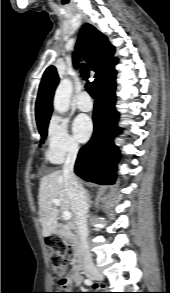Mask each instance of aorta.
<instances>
[{"instance_id": "aorta-1", "label": "aorta", "mask_w": 170, "mask_h": 293, "mask_svg": "<svg viewBox=\"0 0 170 293\" xmlns=\"http://www.w3.org/2000/svg\"><path fill=\"white\" fill-rule=\"evenodd\" d=\"M72 90V82L69 79H64L60 82L54 95V110L59 113H64L68 111Z\"/></svg>"}]
</instances>
